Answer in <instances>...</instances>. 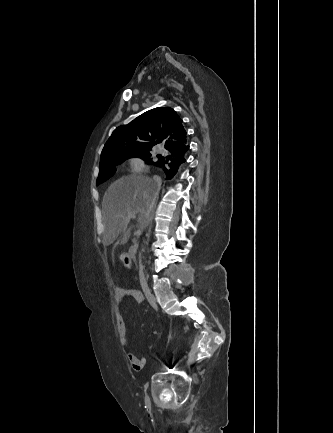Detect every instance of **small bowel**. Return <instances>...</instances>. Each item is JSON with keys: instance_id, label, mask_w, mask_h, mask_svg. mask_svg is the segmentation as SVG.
Masks as SVG:
<instances>
[{"instance_id": "obj_1", "label": "small bowel", "mask_w": 333, "mask_h": 433, "mask_svg": "<svg viewBox=\"0 0 333 433\" xmlns=\"http://www.w3.org/2000/svg\"><path fill=\"white\" fill-rule=\"evenodd\" d=\"M115 296L119 303H121L125 299H133L137 302H142L144 300L143 292L138 289L117 288L115 290ZM117 326L120 335V342L122 346L127 350V359L129 363L135 370H140L145 363V359L138 357L134 352L129 349L130 340L127 333L126 323L122 315H120V317L118 318Z\"/></svg>"}]
</instances>
